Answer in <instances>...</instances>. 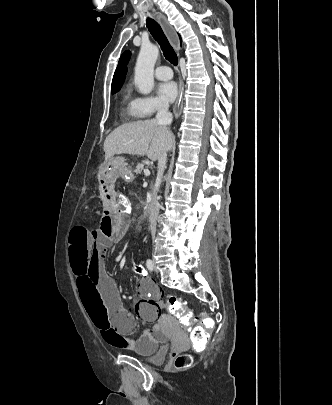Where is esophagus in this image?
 Wrapping results in <instances>:
<instances>
[{
  "instance_id": "esophagus-1",
  "label": "esophagus",
  "mask_w": 332,
  "mask_h": 405,
  "mask_svg": "<svg viewBox=\"0 0 332 405\" xmlns=\"http://www.w3.org/2000/svg\"><path fill=\"white\" fill-rule=\"evenodd\" d=\"M157 20L160 23L161 27L163 28L165 34L167 35L168 39L172 43V45L179 50V40L176 32L172 28V26L169 24L165 16L162 14H157ZM182 107H183V98H182V88L179 90V96L177 98V101L174 105V114L176 118H179L182 112Z\"/></svg>"
}]
</instances>
